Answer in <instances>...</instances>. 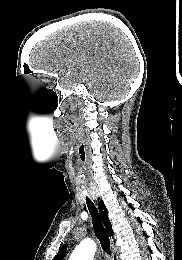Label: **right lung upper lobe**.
Returning a JSON list of instances; mask_svg holds the SVG:
<instances>
[{"label":"right lung upper lobe","mask_w":182,"mask_h":260,"mask_svg":"<svg viewBox=\"0 0 182 260\" xmlns=\"http://www.w3.org/2000/svg\"><path fill=\"white\" fill-rule=\"evenodd\" d=\"M98 209H99L102 221L105 225V228H106L109 236H111L113 234L112 225H111V222L108 219L107 208L105 207L102 200L98 202ZM66 250H67V245L65 244L59 249L57 255L54 257L53 260H63L65 254H66Z\"/></svg>","instance_id":"right-lung-upper-lobe-1"}]
</instances>
